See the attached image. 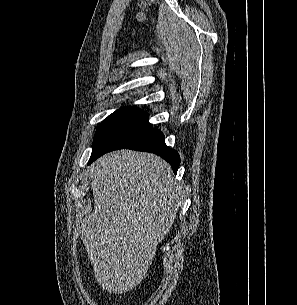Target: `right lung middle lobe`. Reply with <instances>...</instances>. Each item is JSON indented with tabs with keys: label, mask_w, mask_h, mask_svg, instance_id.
Listing matches in <instances>:
<instances>
[{
	"label": "right lung middle lobe",
	"mask_w": 297,
	"mask_h": 305,
	"mask_svg": "<svg viewBox=\"0 0 297 305\" xmlns=\"http://www.w3.org/2000/svg\"><path fill=\"white\" fill-rule=\"evenodd\" d=\"M148 114L135 106H125L109 115L94 136L93 152L128 145L153 129Z\"/></svg>",
	"instance_id": "dd1d6c3e"
}]
</instances>
